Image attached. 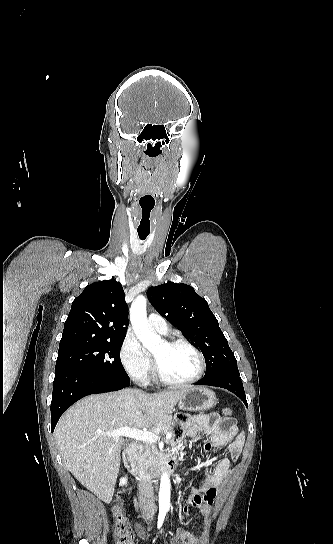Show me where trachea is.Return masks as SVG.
I'll return each instance as SVG.
<instances>
[{
    "label": "trachea",
    "mask_w": 333,
    "mask_h": 544,
    "mask_svg": "<svg viewBox=\"0 0 333 544\" xmlns=\"http://www.w3.org/2000/svg\"><path fill=\"white\" fill-rule=\"evenodd\" d=\"M149 233H141V232H138V235H139V239L140 240H145L146 237L148 236Z\"/></svg>",
    "instance_id": "3493384b"
}]
</instances>
